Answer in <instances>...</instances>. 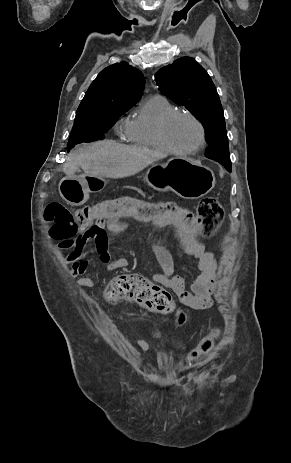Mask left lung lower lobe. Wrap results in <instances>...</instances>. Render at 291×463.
Returning a JSON list of instances; mask_svg holds the SVG:
<instances>
[{"mask_svg": "<svg viewBox=\"0 0 291 463\" xmlns=\"http://www.w3.org/2000/svg\"><path fill=\"white\" fill-rule=\"evenodd\" d=\"M214 160V159H213ZM217 162H219L220 164H222L229 172H231V162H226L224 160H221V159H217L216 160Z\"/></svg>", "mask_w": 291, "mask_h": 463, "instance_id": "1", "label": "left lung lower lobe"}]
</instances>
